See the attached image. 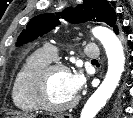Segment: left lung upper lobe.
I'll return each mask as SVG.
<instances>
[{
	"instance_id": "1",
	"label": "left lung upper lobe",
	"mask_w": 133,
	"mask_h": 118,
	"mask_svg": "<svg viewBox=\"0 0 133 118\" xmlns=\"http://www.w3.org/2000/svg\"><path fill=\"white\" fill-rule=\"evenodd\" d=\"M59 16L71 23L98 21L116 27V13L106 0H83V4L78 5L75 9L67 8L57 16L41 14L32 18L27 24L26 30H23L18 37L17 45L32 41L60 25Z\"/></svg>"
}]
</instances>
